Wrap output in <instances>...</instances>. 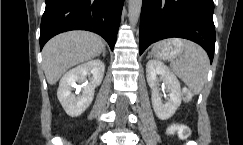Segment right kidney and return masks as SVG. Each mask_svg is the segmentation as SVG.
Returning a JSON list of instances; mask_svg holds the SVG:
<instances>
[{"label": "right kidney", "instance_id": "right-kidney-1", "mask_svg": "<svg viewBox=\"0 0 243 145\" xmlns=\"http://www.w3.org/2000/svg\"><path fill=\"white\" fill-rule=\"evenodd\" d=\"M104 72V63L96 59L81 64L63 75L57 97L69 116L81 115L91 104L95 88L101 84ZM87 76H89V82L86 79ZM74 88H76L75 94L72 93ZM81 89L83 92L79 94Z\"/></svg>", "mask_w": 243, "mask_h": 145}]
</instances>
